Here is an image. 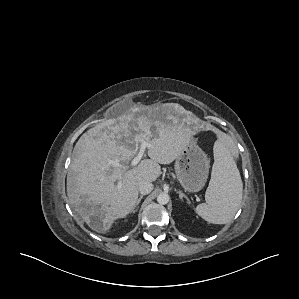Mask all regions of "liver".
I'll return each mask as SVG.
<instances>
[{
  "instance_id": "1",
  "label": "liver",
  "mask_w": 299,
  "mask_h": 299,
  "mask_svg": "<svg viewBox=\"0 0 299 299\" xmlns=\"http://www.w3.org/2000/svg\"><path fill=\"white\" fill-rule=\"evenodd\" d=\"M171 108L132 106L85 132L73 149L67 174V195L74 212L96 232H107L115 220L127 216L136 206L138 184L154 182L160 164L172 163L189 142L174 123ZM141 140L151 145L150 159L123 170L109 162L130 161ZM118 180V184L115 182Z\"/></svg>"
}]
</instances>
